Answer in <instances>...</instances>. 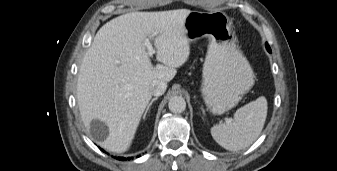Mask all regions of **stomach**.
Listing matches in <instances>:
<instances>
[{
  "label": "stomach",
  "mask_w": 337,
  "mask_h": 171,
  "mask_svg": "<svg viewBox=\"0 0 337 171\" xmlns=\"http://www.w3.org/2000/svg\"><path fill=\"white\" fill-rule=\"evenodd\" d=\"M184 28L189 41L209 40L201 93L207 108L221 115L235 107L253 87V70L238 47L232 22L224 12L192 11Z\"/></svg>",
  "instance_id": "obj_1"
}]
</instances>
